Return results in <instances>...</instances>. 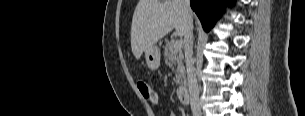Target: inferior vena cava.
Wrapping results in <instances>:
<instances>
[{
  "label": "inferior vena cava",
  "instance_id": "602c4592",
  "mask_svg": "<svg viewBox=\"0 0 305 116\" xmlns=\"http://www.w3.org/2000/svg\"><path fill=\"white\" fill-rule=\"evenodd\" d=\"M183 8L186 17L185 33H184V49H185V59H186V69L188 78V87L190 92V103L193 116H201V106L199 103V87L196 78V72L194 68L193 59V22L188 16L191 11L189 0H182Z\"/></svg>",
  "mask_w": 305,
  "mask_h": 116
}]
</instances>
